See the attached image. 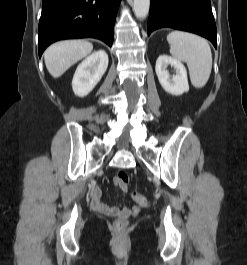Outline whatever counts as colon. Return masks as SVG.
Masks as SVG:
<instances>
[{"label":"colon","mask_w":247,"mask_h":265,"mask_svg":"<svg viewBox=\"0 0 247 265\" xmlns=\"http://www.w3.org/2000/svg\"><path fill=\"white\" fill-rule=\"evenodd\" d=\"M115 183L120 189L125 191L129 183L128 174L124 171L119 172L115 177ZM132 198L141 207H147L149 205L148 199L138 192H132ZM126 224L127 222L124 219H118L114 223V228L117 231H123L126 227Z\"/></svg>","instance_id":"1"}]
</instances>
